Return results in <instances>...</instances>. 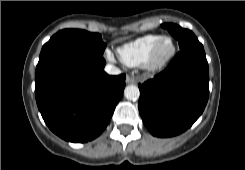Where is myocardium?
<instances>
[{
	"mask_svg": "<svg viewBox=\"0 0 245 170\" xmlns=\"http://www.w3.org/2000/svg\"><path fill=\"white\" fill-rule=\"evenodd\" d=\"M163 43L169 44V49L161 54L160 49ZM176 52V46L174 40L170 36L160 37L149 51L145 61L144 67L149 72H157L162 70L174 57Z\"/></svg>",
	"mask_w": 245,
	"mask_h": 170,
	"instance_id": "myocardium-1",
	"label": "myocardium"
}]
</instances>
